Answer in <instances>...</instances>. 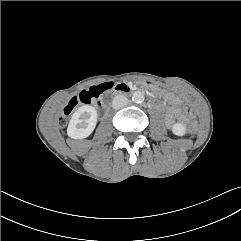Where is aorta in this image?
Returning <instances> with one entry per match:
<instances>
[{"mask_svg":"<svg viewBox=\"0 0 241 241\" xmlns=\"http://www.w3.org/2000/svg\"><path fill=\"white\" fill-rule=\"evenodd\" d=\"M132 100L136 103H140L144 100V94L141 91H136L132 95Z\"/></svg>","mask_w":241,"mask_h":241,"instance_id":"762f6f07","label":"aorta"}]
</instances>
